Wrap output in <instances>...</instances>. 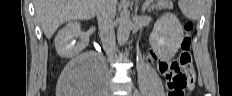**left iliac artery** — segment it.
<instances>
[{"label": "left iliac artery", "mask_w": 232, "mask_h": 96, "mask_svg": "<svg viewBox=\"0 0 232 96\" xmlns=\"http://www.w3.org/2000/svg\"><path fill=\"white\" fill-rule=\"evenodd\" d=\"M134 95H135V96H140L139 91H138V90H135Z\"/></svg>", "instance_id": "obj_1"}]
</instances>
